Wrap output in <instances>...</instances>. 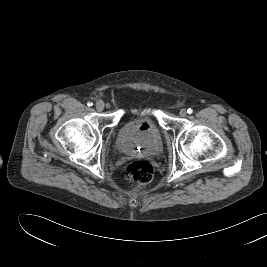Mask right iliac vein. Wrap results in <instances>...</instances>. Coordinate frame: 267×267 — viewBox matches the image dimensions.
I'll return each instance as SVG.
<instances>
[{
	"label": "right iliac vein",
	"mask_w": 267,
	"mask_h": 267,
	"mask_svg": "<svg viewBox=\"0 0 267 267\" xmlns=\"http://www.w3.org/2000/svg\"><path fill=\"white\" fill-rule=\"evenodd\" d=\"M95 108L98 112H101L104 110V103L99 101L95 104Z\"/></svg>",
	"instance_id": "1"
}]
</instances>
